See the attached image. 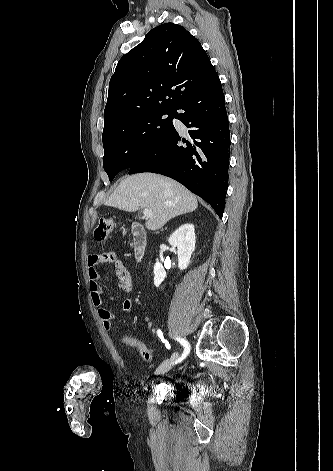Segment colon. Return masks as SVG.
<instances>
[{
	"mask_svg": "<svg viewBox=\"0 0 333 471\" xmlns=\"http://www.w3.org/2000/svg\"><path fill=\"white\" fill-rule=\"evenodd\" d=\"M115 226V221L110 218H102L98 221L94 228V237L96 240L101 241L107 238ZM120 342L125 347L135 349L139 355L145 360L150 361L152 358L149 348L138 338L124 335L121 336Z\"/></svg>",
	"mask_w": 333,
	"mask_h": 471,
	"instance_id": "5ec220e1",
	"label": "colon"
}]
</instances>
